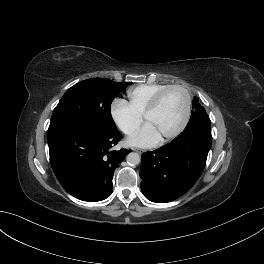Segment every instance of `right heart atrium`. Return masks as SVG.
I'll return each mask as SVG.
<instances>
[{"label":"right heart atrium","instance_id":"d8ad5b80","mask_svg":"<svg viewBox=\"0 0 264 264\" xmlns=\"http://www.w3.org/2000/svg\"><path fill=\"white\" fill-rule=\"evenodd\" d=\"M110 115L116 127L125 135L133 134L142 121L141 115L127 101L121 99L113 101Z\"/></svg>","mask_w":264,"mask_h":264}]
</instances>
